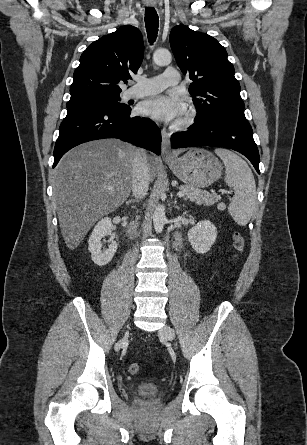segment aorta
Returning a JSON list of instances; mask_svg holds the SVG:
<instances>
[{
  "label": "aorta",
  "mask_w": 307,
  "mask_h": 445,
  "mask_svg": "<svg viewBox=\"0 0 307 445\" xmlns=\"http://www.w3.org/2000/svg\"><path fill=\"white\" fill-rule=\"evenodd\" d=\"M153 60L155 64L165 66V64H170L172 54L167 48H158V50H154L153 52ZM166 220L165 206H163V204H157L153 212V225L156 233H162Z\"/></svg>",
  "instance_id": "obj_1"
}]
</instances>
